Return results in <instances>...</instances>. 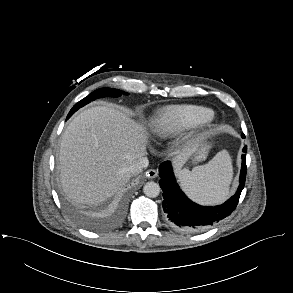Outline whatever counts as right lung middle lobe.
<instances>
[{"instance_id":"obj_1","label":"right lung middle lobe","mask_w":293,"mask_h":293,"mask_svg":"<svg viewBox=\"0 0 293 293\" xmlns=\"http://www.w3.org/2000/svg\"><path fill=\"white\" fill-rule=\"evenodd\" d=\"M125 92L118 90V89H111V88H100L89 94L87 97L76 103L71 111L69 112L67 119L76 112L79 108L83 107L84 105L90 103L91 101L102 98V97H119L121 94H124Z\"/></svg>"}]
</instances>
